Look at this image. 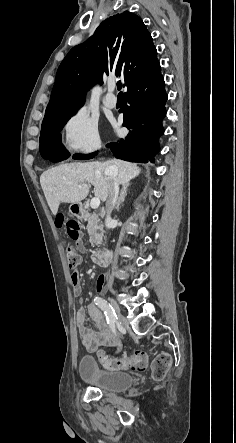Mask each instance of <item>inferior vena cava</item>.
<instances>
[{
	"label": "inferior vena cava",
	"mask_w": 236,
	"mask_h": 443,
	"mask_svg": "<svg viewBox=\"0 0 236 443\" xmlns=\"http://www.w3.org/2000/svg\"><path fill=\"white\" fill-rule=\"evenodd\" d=\"M105 173L111 177L112 179V186L110 189L109 197L106 202V220L105 224L107 228L111 227L112 224V218H111V212L116 204V201L118 199L119 194V182L117 179V173L116 169L113 166H109L106 168Z\"/></svg>",
	"instance_id": "602c4592"
}]
</instances>
